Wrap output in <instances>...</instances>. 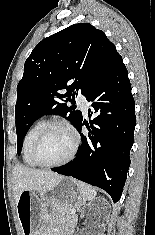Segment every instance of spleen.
Segmentation results:
<instances>
[{
  "label": "spleen",
  "instance_id": "1",
  "mask_svg": "<svg viewBox=\"0 0 155 235\" xmlns=\"http://www.w3.org/2000/svg\"><path fill=\"white\" fill-rule=\"evenodd\" d=\"M78 186L83 193L85 200H92L96 197L97 192L93 187L84 182H78Z\"/></svg>",
  "mask_w": 155,
  "mask_h": 235
}]
</instances>
